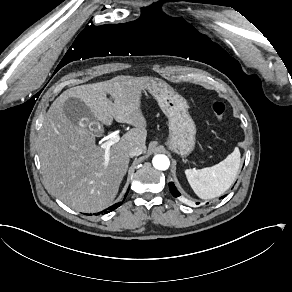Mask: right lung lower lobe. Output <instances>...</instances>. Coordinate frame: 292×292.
<instances>
[{"label":"right lung lower lobe","mask_w":292,"mask_h":292,"mask_svg":"<svg viewBox=\"0 0 292 292\" xmlns=\"http://www.w3.org/2000/svg\"><path fill=\"white\" fill-rule=\"evenodd\" d=\"M121 204H122V202H119V203H116V204L112 205V206L109 207L107 210H105V213H109V212L115 210V209L118 208Z\"/></svg>","instance_id":"1"}]
</instances>
